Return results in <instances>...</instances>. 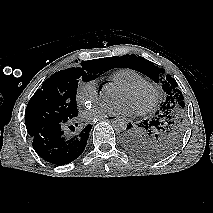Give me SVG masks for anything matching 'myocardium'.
<instances>
[{"mask_svg": "<svg viewBox=\"0 0 213 213\" xmlns=\"http://www.w3.org/2000/svg\"><path fill=\"white\" fill-rule=\"evenodd\" d=\"M146 87L150 90L152 98L150 103L140 109H133L134 113L137 115H145L152 111H154L159 102V90L155 83L147 80H140L134 83L126 84L121 86L120 88L126 91H135L139 88Z\"/></svg>", "mask_w": 213, "mask_h": 213, "instance_id": "myocardium-1", "label": "myocardium"}]
</instances>
